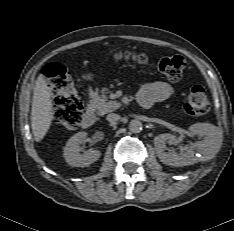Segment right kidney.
<instances>
[{
  "label": "right kidney",
  "instance_id": "right-kidney-1",
  "mask_svg": "<svg viewBox=\"0 0 234 231\" xmlns=\"http://www.w3.org/2000/svg\"><path fill=\"white\" fill-rule=\"evenodd\" d=\"M83 141H87V133L84 131L78 132L68 140L63 149L66 162L73 167H87L97 161L101 155L99 150L93 149L80 153L79 143Z\"/></svg>",
  "mask_w": 234,
  "mask_h": 231
}]
</instances>
